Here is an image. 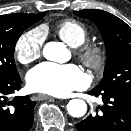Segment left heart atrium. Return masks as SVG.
Returning a JSON list of instances; mask_svg holds the SVG:
<instances>
[{
    "label": "left heart atrium",
    "mask_w": 131,
    "mask_h": 131,
    "mask_svg": "<svg viewBox=\"0 0 131 131\" xmlns=\"http://www.w3.org/2000/svg\"><path fill=\"white\" fill-rule=\"evenodd\" d=\"M86 75L75 65L45 62L29 71L27 85L35 92L66 96L73 90L84 88Z\"/></svg>",
    "instance_id": "left-heart-atrium-1"
}]
</instances>
